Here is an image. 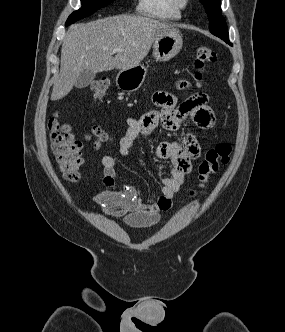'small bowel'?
<instances>
[{"label": "small bowel", "instance_id": "1", "mask_svg": "<svg viewBox=\"0 0 285 332\" xmlns=\"http://www.w3.org/2000/svg\"><path fill=\"white\" fill-rule=\"evenodd\" d=\"M186 81H180L178 87H186ZM158 106L155 113L149 112L139 118H128L126 131L119 141V153L127 156L138 137H147L156 126H164L167 130L179 128L187 120L202 129H210L215 125V114L207 104L205 94H196L182 104L178 96L165 91L153 95ZM171 122V123H169ZM201 154L198 139L187 134L182 142H163L157 147V156L167 159L169 164L160 166L158 175L161 183L160 195L143 201L138 189L126 184L121 191L114 188L120 182L116 173V161L111 155L102 157L105 190L93 194V201L101 210L110 216L123 217L124 221L137 227H148L156 224L164 211L171 208L172 200L184 185L186 175L191 170L192 161Z\"/></svg>", "mask_w": 285, "mask_h": 332}]
</instances>
